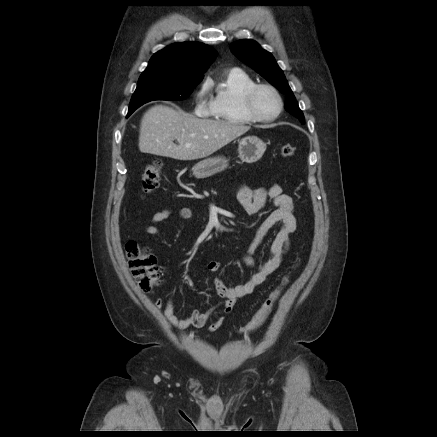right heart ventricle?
<instances>
[{
    "mask_svg": "<svg viewBox=\"0 0 437 437\" xmlns=\"http://www.w3.org/2000/svg\"><path fill=\"white\" fill-rule=\"evenodd\" d=\"M255 81L243 70L234 68L208 87L214 89L212 114L232 124H249L254 120L249 117L244 106L246 91L255 85Z\"/></svg>",
    "mask_w": 437,
    "mask_h": 437,
    "instance_id": "1",
    "label": "right heart ventricle"
}]
</instances>
